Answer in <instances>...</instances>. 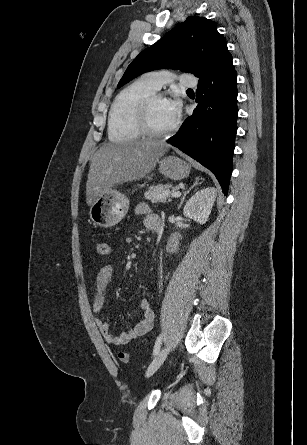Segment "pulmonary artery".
Here are the masks:
<instances>
[{"label":"pulmonary artery","instance_id":"pulmonary-artery-1","mask_svg":"<svg viewBox=\"0 0 307 445\" xmlns=\"http://www.w3.org/2000/svg\"><path fill=\"white\" fill-rule=\"evenodd\" d=\"M180 77L177 78L178 90H196L198 83L194 81L193 75H183L182 71L178 72ZM145 78L153 89H158L164 82L171 83L174 80L173 72L170 69H151L145 73Z\"/></svg>","mask_w":307,"mask_h":445}]
</instances>
